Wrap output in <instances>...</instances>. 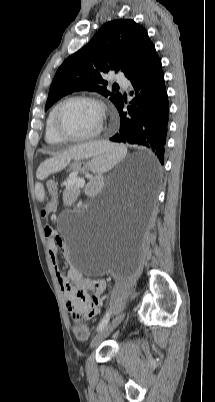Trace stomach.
<instances>
[{"instance_id":"0dacf381","label":"stomach","mask_w":215,"mask_h":402,"mask_svg":"<svg viewBox=\"0 0 215 402\" xmlns=\"http://www.w3.org/2000/svg\"><path fill=\"white\" fill-rule=\"evenodd\" d=\"M70 169H72V170H74V171L82 172V173H84V172H86V171L88 170L87 166H85V165L82 166V164H81V163H78V162L73 163V164L70 166Z\"/></svg>"}]
</instances>
